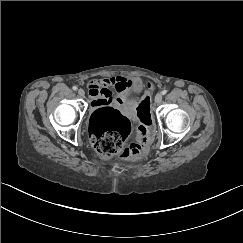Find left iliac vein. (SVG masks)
Here are the masks:
<instances>
[{"instance_id": "left-iliac-vein-1", "label": "left iliac vein", "mask_w": 243, "mask_h": 243, "mask_svg": "<svg viewBox=\"0 0 243 243\" xmlns=\"http://www.w3.org/2000/svg\"><path fill=\"white\" fill-rule=\"evenodd\" d=\"M161 101H162V94L161 93L156 94L155 102L159 104Z\"/></svg>"}]
</instances>
